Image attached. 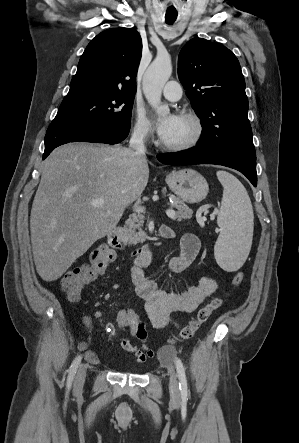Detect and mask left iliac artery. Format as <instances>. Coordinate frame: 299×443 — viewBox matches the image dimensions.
<instances>
[{
	"label": "left iliac artery",
	"mask_w": 299,
	"mask_h": 443,
	"mask_svg": "<svg viewBox=\"0 0 299 443\" xmlns=\"http://www.w3.org/2000/svg\"><path fill=\"white\" fill-rule=\"evenodd\" d=\"M175 364H176L178 378H179V388H180V392H181V398L183 400H187L188 387H187V379H186L185 369H184L182 361L178 357L175 360Z\"/></svg>",
	"instance_id": "44dca946"
}]
</instances>
